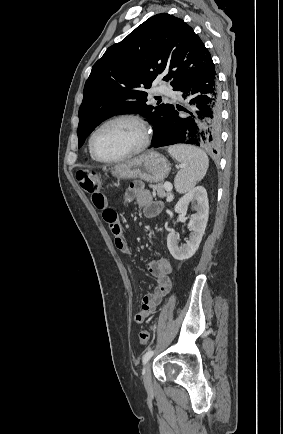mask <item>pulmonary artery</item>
Masks as SVG:
<instances>
[{
    "label": "pulmonary artery",
    "mask_w": 283,
    "mask_h": 434,
    "mask_svg": "<svg viewBox=\"0 0 283 434\" xmlns=\"http://www.w3.org/2000/svg\"><path fill=\"white\" fill-rule=\"evenodd\" d=\"M157 92L159 94H164L171 98H179V95L176 92L172 91L170 88H168L165 85H160L159 87H157Z\"/></svg>",
    "instance_id": "e3ab8cb5"
}]
</instances>
